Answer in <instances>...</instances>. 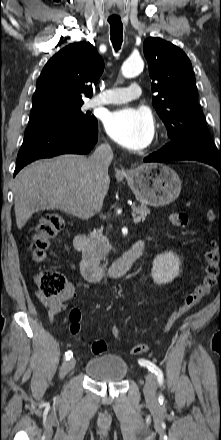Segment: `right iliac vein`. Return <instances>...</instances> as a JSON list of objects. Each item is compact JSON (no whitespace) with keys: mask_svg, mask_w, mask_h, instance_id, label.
I'll return each instance as SVG.
<instances>
[{"mask_svg":"<svg viewBox=\"0 0 221 440\" xmlns=\"http://www.w3.org/2000/svg\"><path fill=\"white\" fill-rule=\"evenodd\" d=\"M75 364L76 360L74 358L64 362L60 370L61 378H63L69 371H71L74 368Z\"/></svg>","mask_w":221,"mask_h":440,"instance_id":"obj_1","label":"right iliac vein"}]
</instances>
